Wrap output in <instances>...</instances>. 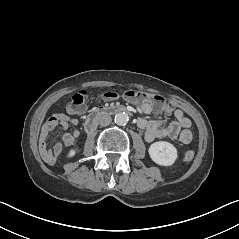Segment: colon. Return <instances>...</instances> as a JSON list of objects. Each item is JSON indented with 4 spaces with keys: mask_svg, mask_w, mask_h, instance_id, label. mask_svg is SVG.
<instances>
[{
    "mask_svg": "<svg viewBox=\"0 0 239 239\" xmlns=\"http://www.w3.org/2000/svg\"><path fill=\"white\" fill-rule=\"evenodd\" d=\"M88 93L86 90H79L76 92L69 104L67 105V113L70 115H78L81 114L86 106ZM122 98L136 102V103H150L152 107L157 111L162 110H171L172 106L168 103L163 97L155 94H150L142 91L128 90L124 92ZM120 95L115 92H106L103 94V98L106 100H114L119 98ZM194 157V151L188 150L184 155V160L189 162Z\"/></svg>",
    "mask_w": 239,
    "mask_h": 239,
    "instance_id": "obj_1",
    "label": "colon"
}]
</instances>
